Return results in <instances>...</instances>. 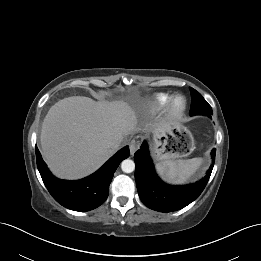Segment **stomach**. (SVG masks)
<instances>
[{"label":"stomach","instance_id":"stomach-1","mask_svg":"<svg viewBox=\"0 0 261 261\" xmlns=\"http://www.w3.org/2000/svg\"><path fill=\"white\" fill-rule=\"evenodd\" d=\"M193 149L194 138L191 132L179 123H164L153 134L152 150L157 161L186 157Z\"/></svg>","mask_w":261,"mask_h":261}]
</instances>
